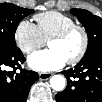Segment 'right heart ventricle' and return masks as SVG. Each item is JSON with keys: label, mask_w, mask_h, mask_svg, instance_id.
Here are the masks:
<instances>
[{"label": "right heart ventricle", "mask_w": 102, "mask_h": 102, "mask_svg": "<svg viewBox=\"0 0 102 102\" xmlns=\"http://www.w3.org/2000/svg\"><path fill=\"white\" fill-rule=\"evenodd\" d=\"M34 19L44 41L50 40L55 34L76 24L73 17L58 11L39 13L34 16Z\"/></svg>", "instance_id": "obj_1"}]
</instances>
